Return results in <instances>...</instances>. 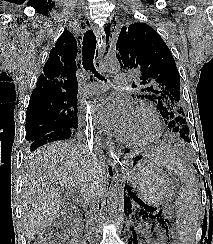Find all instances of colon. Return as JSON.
<instances>
[{
	"mask_svg": "<svg viewBox=\"0 0 213 244\" xmlns=\"http://www.w3.org/2000/svg\"><path fill=\"white\" fill-rule=\"evenodd\" d=\"M36 244H53V238L51 236H46Z\"/></svg>",
	"mask_w": 213,
	"mask_h": 244,
	"instance_id": "obj_1",
	"label": "colon"
}]
</instances>
